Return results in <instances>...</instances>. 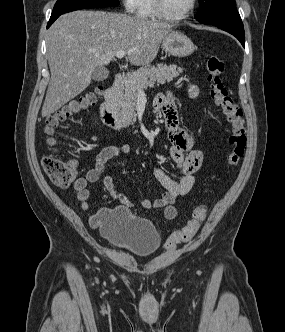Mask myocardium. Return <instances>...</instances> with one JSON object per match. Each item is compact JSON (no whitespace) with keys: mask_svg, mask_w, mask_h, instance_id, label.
Segmentation results:
<instances>
[{"mask_svg":"<svg viewBox=\"0 0 285 332\" xmlns=\"http://www.w3.org/2000/svg\"><path fill=\"white\" fill-rule=\"evenodd\" d=\"M153 4L154 10L159 18L170 22H178L187 19L193 13L197 5V0H191L189 8L179 16H172L166 11L164 0H153Z\"/></svg>","mask_w":285,"mask_h":332,"instance_id":"f54148a6","label":"myocardium"}]
</instances>
